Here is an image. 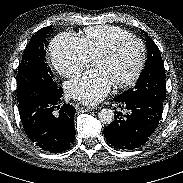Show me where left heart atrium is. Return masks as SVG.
Here are the masks:
<instances>
[{"mask_svg":"<svg viewBox=\"0 0 183 183\" xmlns=\"http://www.w3.org/2000/svg\"><path fill=\"white\" fill-rule=\"evenodd\" d=\"M112 83L106 74L94 69L66 85L68 95L86 104L100 102L110 91Z\"/></svg>","mask_w":183,"mask_h":183,"instance_id":"39dd6f15","label":"left heart atrium"}]
</instances>
